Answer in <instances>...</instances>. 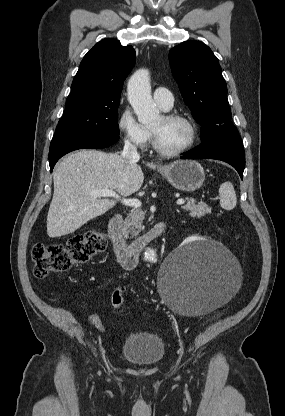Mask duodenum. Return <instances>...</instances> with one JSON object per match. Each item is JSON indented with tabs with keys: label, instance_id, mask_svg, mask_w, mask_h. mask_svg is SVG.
<instances>
[{
	"label": "duodenum",
	"instance_id": "duodenum-1",
	"mask_svg": "<svg viewBox=\"0 0 285 416\" xmlns=\"http://www.w3.org/2000/svg\"><path fill=\"white\" fill-rule=\"evenodd\" d=\"M167 230L165 222H159L145 236L129 243L122 230V218L120 214L113 215L108 222L107 232L113 244L115 256L119 265L124 270L134 269L141 257L144 247L151 241L161 237Z\"/></svg>",
	"mask_w": 285,
	"mask_h": 416
}]
</instances>
